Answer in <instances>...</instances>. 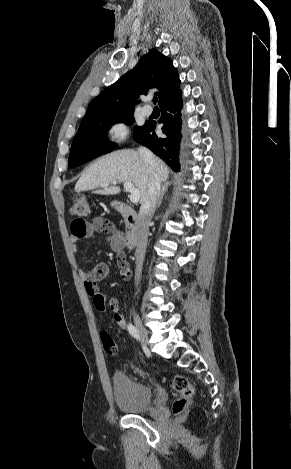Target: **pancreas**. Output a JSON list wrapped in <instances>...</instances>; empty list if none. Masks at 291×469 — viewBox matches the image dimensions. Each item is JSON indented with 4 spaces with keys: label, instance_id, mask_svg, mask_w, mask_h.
<instances>
[{
    "label": "pancreas",
    "instance_id": "1",
    "mask_svg": "<svg viewBox=\"0 0 291 469\" xmlns=\"http://www.w3.org/2000/svg\"><path fill=\"white\" fill-rule=\"evenodd\" d=\"M125 224H126V227H127V226H128V223H127V221H126V220H125Z\"/></svg>",
    "mask_w": 291,
    "mask_h": 469
}]
</instances>
